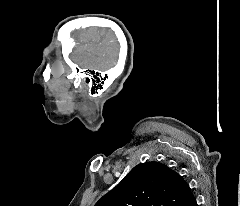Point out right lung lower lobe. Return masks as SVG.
I'll use <instances>...</instances> for the list:
<instances>
[{"mask_svg":"<svg viewBox=\"0 0 240 206\" xmlns=\"http://www.w3.org/2000/svg\"><path fill=\"white\" fill-rule=\"evenodd\" d=\"M183 206H197L195 197L191 199L189 202H187L186 204H184Z\"/></svg>","mask_w":240,"mask_h":206,"instance_id":"obj_1","label":"right lung lower lobe"}]
</instances>
